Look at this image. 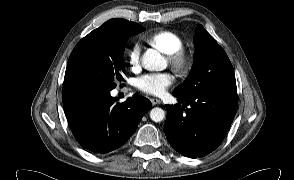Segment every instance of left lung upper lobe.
<instances>
[{
	"label": "left lung upper lobe",
	"mask_w": 294,
	"mask_h": 180,
	"mask_svg": "<svg viewBox=\"0 0 294 180\" xmlns=\"http://www.w3.org/2000/svg\"><path fill=\"white\" fill-rule=\"evenodd\" d=\"M194 42L195 61L190 75L173 92L181 95L210 92L236 95L234 70L223 48L202 25L197 26Z\"/></svg>",
	"instance_id": "5c2ea615"
}]
</instances>
